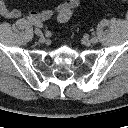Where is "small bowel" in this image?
<instances>
[{"label": "small bowel", "mask_w": 128, "mask_h": 128, "mask_svg": "<svg viewBox=\"0 0 128 128\" xmlns=\"http://www.w3.org/2000/svg\"><path fill=\"white\" fill-rule=\"evenodd\" d=\"M79 3L80 0H65L51 8L43 9L41 11H31L27 16V19L34 25H40L55 14H58L62 9H75ZM0 16L8 19H17L21 16V11L17 8L8 7L5 0H0Z\"/></svg>", "instance_id": "1"}]
</instances>
